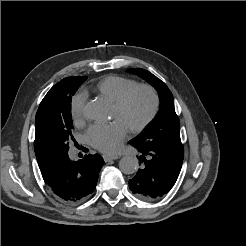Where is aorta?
Wrapping results in <instances>:
<instances>
[{
  "label": "aorta",
  "mask_w": 246,
  "mask_h": 246,
  "mask_svg": "<svg viewBox=\"0 0 246 246\" xmlns=\"http://www.w3.org/2000/svg\"><path fill=\"white\" fill-rule=\"evenodd\" d=\"M106 106L98 101H90L85 106V116L92 120H102L106 117ZM119 168L124 174H133L138 169V160L132 156H124L119 162Z\"/></svg>",
  "instance_id": "1"
}]
</instances>
